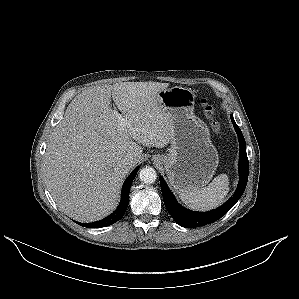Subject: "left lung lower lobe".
I'll return each instance as SVG.
<instances>
[{
    "label": "left lung lower lobe",
    "instance_id": "left-lung-lower-lobe-1",
    "mask_svg": "<svg viewBox=\"0 0 299 299\" xmlns=\"http://www.w3.org/2000/svg\"><path fill=\"white\" fill-rule=\"evenodd\" d=\"M231 121L238 135L239 144H240V154H239L240 179H239L238 187L233 197H231L225 204H223L221 207L215 210L209 212H203V213L188 210L177 203L173 194L169 190L167 184L165 183L163 178L160 177L161 190H162V195H163L166 209L170 213L172 218L176 221V223L182 227L195 228V227L207 225L217 221L236 204V202L239 200V198L242 196L245 190L247 180H248V173H249V163H248V158L246 153V143L240 128L237 126V124L234 121L233 116H231Z\"/></svg>",
    "mask_w": 299,
    "mask_h": 299
}]
</instances>
